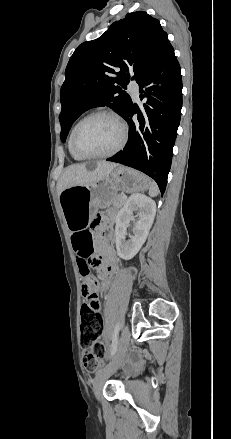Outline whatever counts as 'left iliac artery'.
<instances>
[{"label":"left iliac artery","mask_w":231,"mask_h":439,"mask_svg":"<svg viewBox=\"0 0 231 439\" xmlns=\"http://www.w3.org/2000/svg\"><path fill=\"white\" fill-rule=\"evenodd\" d=\"M118 332H119V328L117 327L114 331L113 334V339H112V345H111V356H113L116 351H117V347H118Z\"/></svg>","instance_id":"left-iliac-artery-1"}]
</instances>
